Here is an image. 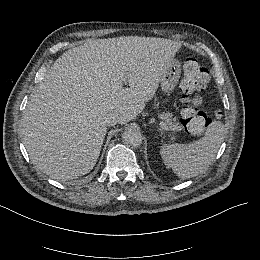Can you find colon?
<instances>
[{"label":"colon","mask_w":260,"mask_h":260,"mask_svg":"<svg viewBox=\"0 0 260 260\" xmlns=\"http://www.w3.org/2000/svg\"><path fill=\"white\" fill-rule=\"evenodd\" d=\"M210 80L209 71L196 58H187L183 65L181 90V120L184 128L197 133L205 128L210 119L202 109L203 94Z\"/></svg>","instance_id":"5ec220e1"}]
</instances>
